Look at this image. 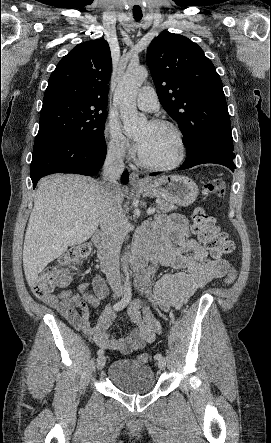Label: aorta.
<instances>
[{
  "instance_id": "aorta-1",
  "label": "aorta",
  "mask_w": 271,
  "mask_h": 443,
  "mask_svg": "<svg viewBox=\"0 0 271 443\" xmlns=\"http://www.w3.org/2000/svg\"><path fill=\"white\" fill-rule=\"evenodd\" d=\"M146 78H148L146 68H142V66H129L115 90L114 100L120 110L126 134L140 132L141 128L146 126V116L138 114L136 108L137 94ZM128 255V251H125V255H123V271L125 275H128L129 269Z\"/></svg>"
}]
</instances>
